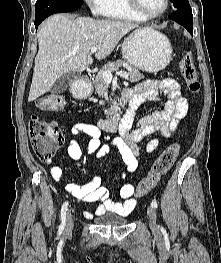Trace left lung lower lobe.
<instances>
[{
    "instance_id": "0a47b994",
    "label": "left lung lower lobe",
    "mask_w": 221,
    "mask_h": 263,
    "mask_svg": "<svg viewBox=\"0 0 221 263\" xmlns=\"http://www.w3.org/2000/svg\"><path fill=\"white\" fill-rule=\"evenodd\" d=\"M169 19L176 21L178 24L184 26L186 30L193 35V15L190 6L178 8L175 12L168 16Z\"/></svg>"
}]
</instances>
